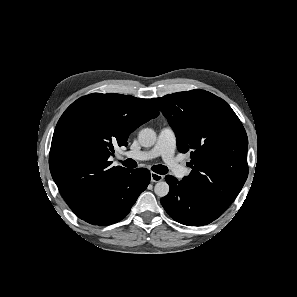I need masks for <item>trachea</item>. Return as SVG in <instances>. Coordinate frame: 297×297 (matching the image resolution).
I'll return each instance as SVG.
<instances>
[{
  "instance_id": "trachea-1",
  "label": "trachea",
  "mask_w": 297,
  "mask_h": 297,
  "mask_svg": "<svg viewBox=\"0 0 297 297\" xmlns=\"http://www.w3.org/2000/svg\"><path fill=\"white\" fill-rule=\"evenodd\" d=\"M122 164L128 168L137 167V163L133 159H126L125 161H122ZM152 170L161 175H164L168 172V168L163 165H154L152 166Z\"/></svg>"
}]
</instances>
